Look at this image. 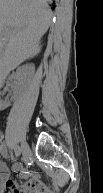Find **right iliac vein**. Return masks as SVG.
Here are the masks:
<instances>
[{
	"label": "right iliac vein",
	"instance_id": "obj_1",
	"mask_svg": "<svg viewBox=\"0 0 103 193\" xmlns=\"http://www.w3.org/2000/svg\"><path fill=\"white\" fill-rule=\"evenodd\" d=\"M29 151H30V149H29L28 144L23 143L22 146H21V153H22V156H23L24 159L28 156Z\"/></svg>",
	"mask_w": 103,
	"mask_h": 193
}]
</instances>
